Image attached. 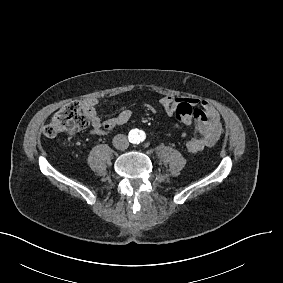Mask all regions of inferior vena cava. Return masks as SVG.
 <instances>
[{"mask_svg": "<svg viewBox=\"0 0 283 283\" xmlns=\"http://www.w3.org/2000/svg\"><path fill=\"white\" fill-rule=\"evenodd\" d=\"M113 146L117 150H126L129 146V141L127 139V136L124 134H118L114 136L113 138Z\"/></svg>", "mask_w": 283, "mask_h": 283, "instance_id": "602c4592", "label": "inferior vena cava"}]
</instances>
